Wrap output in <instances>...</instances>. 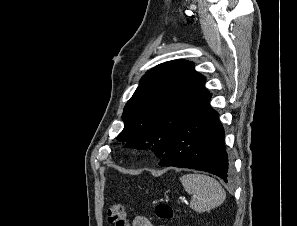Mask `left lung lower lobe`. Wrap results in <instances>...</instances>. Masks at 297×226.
<instances>
[{
	"instance_id": "left-lung-lower-lobe-1",
	"label": "left lung lower lobe",
	"mask_w": 297,
	"mask_h": 226,
	"mask_svg": "<svg viewBox=\"0 0 297 226\" xmlns=\"http://www.w3.org/2000/svg\"><path fill=\"white\" fill-rule=\"evenodd\" d=\"M211 93L201 99L179 127L161 162L210 172L227 182L231 166L224 145V130L218 113L209 105Z\"/></svg>"
}]
</instances>
